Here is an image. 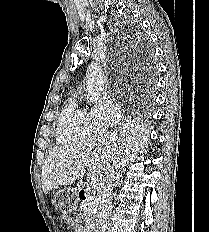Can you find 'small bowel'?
Listing matches in <instances>:
<instances>
[{"label": "small bowel", "instance_id": "obj_1", "mask_svg": "<svg viewBox=\"0 0 209 232\" xmlns=\"http://www.w3.org/2000/svg\"><path fill=\"white\" fill-rule=\"evenodd\" d=\"M73 226H74L75 232H85L84 227L81 225V223L79 221H75L73 223Z\"/></svg>", "mask_w": 209, "mask_h": 232}]
</instances>
